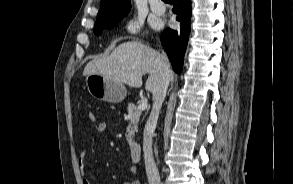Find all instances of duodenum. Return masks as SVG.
<instances>
[{"label": "duodenum", "mask_w": 293, "mask_h": 184, "mask_svg": "<svg viewBox=\"0 0 293 184\" xmlns=\"http://www.w3.org/2000/svg\"><path fill=\"white\" fill-rule=\"evenodd\" d=\"M130 154L133 161H138L141 156V145L138 142H131Z\"/></svg>", "instance_id": "1"}]
</instances>
